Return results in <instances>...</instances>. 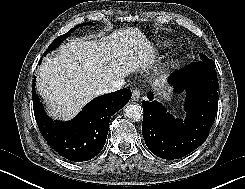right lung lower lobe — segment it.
Returning a JSON list of instances; mask_svg holds the SVG:
<instances>
[{
  "label": "right lung lower lobe",
  "mask_w": 245,
  "mask_h": 189,
  "mask_svg": "<svg viewBox=\"0 0 245 189\" xmlns=\"http://www.w3.org/2000/svg\"><path fill=\"white\" fill-rule=\"evenodd\" d=\"M32 83L34 115L47 143L62 157L75 161H88L104 147L109 121L131 98V90L121 89L96 97L71 121H53L45 113Z\"/></svg>",
  "instance_id": "obj_1"
}]
</instances>
